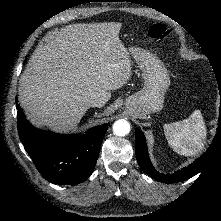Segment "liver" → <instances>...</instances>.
<instances>
[{
  "label": "liver",
  "instance_id": "6515ba94",
  "mask_svg": "<svg viewBox=\"0 0 221 221\" xmlns=\"http://www.w3.org/2000/svg\"><path fill=\"white\" fill-rule=\"evenodd\" d=\"M119 22L72 24L53 32L20 77L19 101L28 119L54 131L74 129L90 99L104 104L131 72Z\"/></svg>",
  "mask_w": 221,
  "mask_h": 221
}]
</instances>
